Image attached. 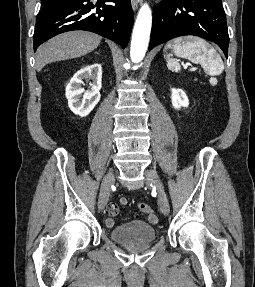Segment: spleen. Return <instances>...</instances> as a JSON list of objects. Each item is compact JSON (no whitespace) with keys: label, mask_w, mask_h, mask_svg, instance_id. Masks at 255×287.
<instances>
[{"label":"spleen","mask_w":255,"mask_h":287,"mask_svg":"<svg viewBox=\"0 0 255 287\" xmlns=\"http://www.w3.org/2000/svg\"><path fill=\"white\" fill-rule=\"evenodd\" d=\"M166 50H171L172 54L178 56V58H186L194 64H199L203 62L207 74H212V76H219L224 70L223 62L217 54L214 48H210L209 44L201 38H195V36H185V38H175V40H170L164 48ZM167 60L168 70H174V72H179L181 66L172 60L169 56H165Z\"/></svg>","instance_id":"obj_1"}]
</instances>
